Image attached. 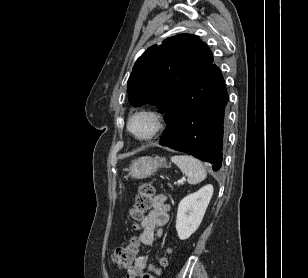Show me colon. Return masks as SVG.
<instances>
[{"label":"colon","instance_id":"1","mask_svg":"<svg viewBox=\"0 0 308 278\" xmlns=\"http://www.w3.org/2000/svg\"><path fill=\"white\" fill-rule=\"evenodd\" d=\"M154 189L151 184L143 183L140 185L136 195L135 204L130 210V215L133 219L139 220L143 214L151 208L153 203ZM138 240L131 238L125 245L118 247L113 255L112 260L122 269L130 268L137 255ZM170 252L169 249L157 259V265L150 267L149 271L141 276V278H157L162 271V268L167 265L166 254Z\"/></svg>","mask_w":308,"mask_h":278}]
</instances>
